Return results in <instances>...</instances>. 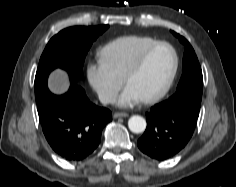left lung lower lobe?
I'll return each mask as SVG.
<instances>
[{"label": "left lung lower lobe", "instance_id": "left-lung-lower-lobe-1", "mask_svg": "<svg viewBox=\"0 0 236 187\" xmlns=\"http://www.w3.org/2000/svg\"><path fill=\"white\" fill-rule=\"evenodd\" d=\"M199 110L185 103L175 106L163 102L156 104L146 113L147 128L138 140L139 149L156 160L174 156L190 140Z\"/></svg>", "mask_w": 236, "mask_h": 187}]
</instances>
